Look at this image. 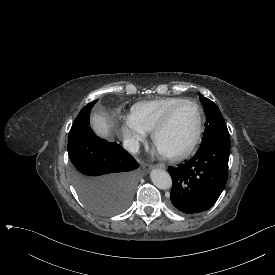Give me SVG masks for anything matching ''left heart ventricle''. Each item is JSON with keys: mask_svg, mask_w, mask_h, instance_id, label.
Instances as JSON below:
<instances>
[{"mask_svg": "<svg viewBox=\"0 0 275 275\" xmlns=\"http://www.w3.org/2000/svg\"><path fill=\"white\" fill-rule=\"evenodd\" d=\"M195 125L196 112L193 106H181L173 115L168 128L157 137L156 148L172 151L181 147L193 134Z\"/></svg>", "mask_w": 275, "mask_h": 275, "instance_id": "obj_1", "label": "left heart ventricle"}]
</instances>
